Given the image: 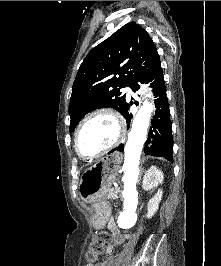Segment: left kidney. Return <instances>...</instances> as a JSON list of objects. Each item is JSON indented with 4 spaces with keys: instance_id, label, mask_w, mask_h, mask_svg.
<instances>
[{
    "instance_id": "5707ae66",
    "label": "left kidney",
    "mask_w": 221,
    "mask_h": 266,
    "mask_svg": "<svg viewBox=\"0 0 221 266\" xmlns=\"http://www.w3.org/2000/svg\"><path fill=\"white\" fill-rule=\"evenodd\" d=\"M164 175L156 166H151L150 169L145 173L143 178V188L150 189L152 187H157L159 184H162ZM163 191L158 189L157 193L152 199H150L147 209V218H152L159 208V203L162 199Z\"/></svg>"
}]
</instances>
